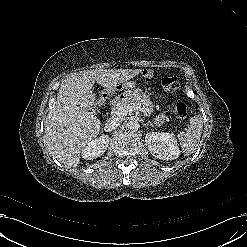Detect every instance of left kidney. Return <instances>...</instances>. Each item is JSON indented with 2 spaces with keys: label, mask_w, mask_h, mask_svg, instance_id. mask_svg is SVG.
<instances>
[{
  "label": "left kidney",
  "mask_w": 247,
  "mask_h": 247,
  "mask_svg": "<svg viewBox=\"0 0 247 247\" xmlns=\"http://www.w3.org/2000/svg\"><path fill=\"white\" fill-rule=\"evenodd\" d=\"M145 142L150 153L161 160H174L179 157L180 150L173 133L149 132Z\"/></svg>",
  "instance_id": "1"
}]
</instances>
